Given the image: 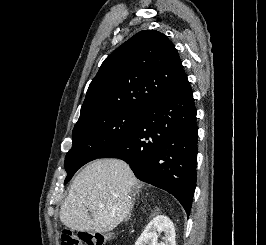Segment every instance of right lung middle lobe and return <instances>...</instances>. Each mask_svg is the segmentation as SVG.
Here are the masks:
<instances>
[{
	"label": "right lung middle lobe",
	"instance_id": "right-lung-middle-lobe-1",
	"mask_svg": "<svg viewBox=\"0 0 266 245\" xmlns=\"http://www.w3.org/2000/svg\"><path fill=\"white\" fill-rule=\"evenodd\" d=\"M145 111L107 108L79 118L72 148L65 157L66 184L84 164L121 143L135 129Z\"/></svg>",
	"mask_w": 266,
	"mask_h": 245
}]
</instances>
